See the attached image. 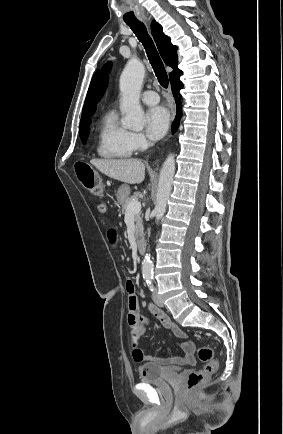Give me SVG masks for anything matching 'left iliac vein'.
<instances>
[{"label": "left iliac vein", "mask_w": 283, "mask_h": 434, "mask_svg": "<svg viewBox=\"0 0 283 434\" xmlns=\"http://www.w3.org/2000/svg\"><path fill=\"white\" fill-rule=\"evenodd\" d=\"M153 301L155 302V304L159 307H163L164 303L162 301V299L160 298V296L157 293V290L154 289L153 295H152Z\"/></svg>", "instance_id": "left-iliac-vein-1"}]
</instances>
